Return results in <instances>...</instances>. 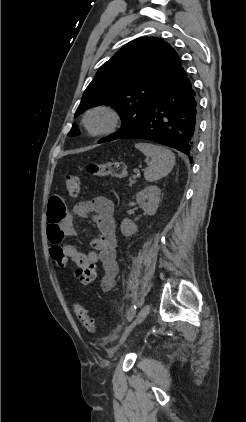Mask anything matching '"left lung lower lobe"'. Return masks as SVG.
<instances>
[{
	"label": "left lung lower lobe",
	"instance_id": "left-lung-lower-lobe-1",
	"mask_svg": "<svg viewBox=\"0 0 246 422\" xmlns=\"http://www.w3.org/2000/svg\"><path fill=\"white\" fill-rule=\"evenodd\" d=\"M198 118L196 93L181 65L155 95L140 121L116 139H148L179 150L192 162Z\"/></svg>",
	"mask_w": 246,
	"mask_h": 422
}]
</instances>
